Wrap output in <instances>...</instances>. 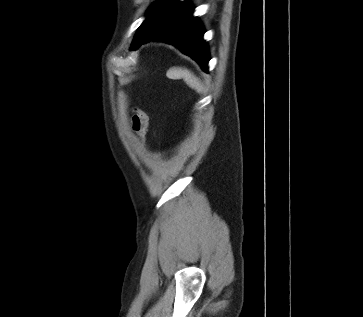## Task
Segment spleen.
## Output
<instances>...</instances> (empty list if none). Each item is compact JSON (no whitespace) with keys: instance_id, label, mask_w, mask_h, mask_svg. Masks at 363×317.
Returning <instances> with one entry per match:
<instances>
[{"instance_id":"spleen-1","label":"spleen","mask_w":363,"mask_h":317,"mask_svg":"<svg viewBox=\"0 0 363 317\" xmlns=\"http://www.w3.org/2000/svg\"><path fill=\"white\" fill-rule=\"evenodd\" d=\"M168 76L172 79H183L185 83L192 89L201 90V85L197 77L187 69L172 68L169 70Z\"/></svg>"}]
</instances>
